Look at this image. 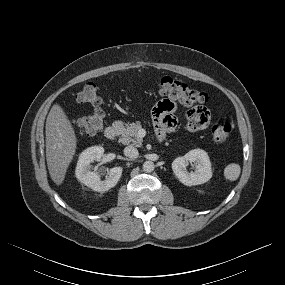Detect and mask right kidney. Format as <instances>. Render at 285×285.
Masks as SVG:
<instances>
[{
	"label": "right kidney",
	"mask_w": 285,
	"mask_h": 285,
	"mask_svg": "<svg viewBox=\"0 0 285 285\" xmlns=\"http://www.w3.org/2000/svg\"><path fill=\"white\" fill-rule=\"evenodd\" d=\"M104 154V148L101 146H92L84 150L78 159L75 175L84 185L94 191L105 192L114 187L121 175L122 167H113L109 169L105 180H101V174L97 171H91V163L99 161Z\"/></svg>",
	"instance_id": "right-kidney-1"
}]
</instances>
